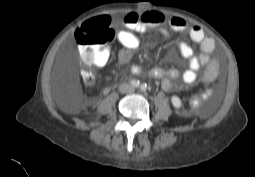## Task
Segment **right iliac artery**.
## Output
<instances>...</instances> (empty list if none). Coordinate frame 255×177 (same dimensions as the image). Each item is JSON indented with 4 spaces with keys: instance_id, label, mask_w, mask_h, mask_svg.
Wrapping results in <instances>:
<instances>
[{
    "instance_id": "obj_1",
    "label": "right iliac artery",
    "mask_w": 255,
    "mask_h": 177,
    "mask_svg": "<svg viewBox=\"0 0 255 177\" xmlns=\"http://www.w3.org/2000/svg\"><path fill=\"white\" fill-rule=\"evenodd\" d=\"M130 83L133 87H139L140 86V82L138 80H131Z\"/></svg>"
}]
</instances>
